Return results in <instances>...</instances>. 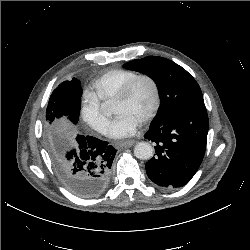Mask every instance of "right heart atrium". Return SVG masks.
Here are the masks:
<instances>
[{"label":"right heart atrium","instance_id":"obj_1","mask_svg":"<svg viewBox=\"0 0 250 250\" xmlns=\"http://www.w3.org/2000/svg\"><path fill=\"white\" fill-rule=\"evenodd\" d=\"M80 116L82 121L100 134L106 133L109 125L101 104L89 93L81 101Z\"/></svg>","mask_w":250,"mask_h":250}]
</instances>
